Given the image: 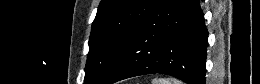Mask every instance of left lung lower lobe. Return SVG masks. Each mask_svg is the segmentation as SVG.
<instances>
[{"mask_svg":"<svg viewBox=\"0 0 260 84\" xmlns=\"http://www.w3.org/2000/svg\"><path fill=\"white\" fill-rule=\"evenodd\" d=\"M207 38L198 0H158L102 84L152 73L205 84Z\"/></svg>","mask_w":260,"mask_h":84,"instance_id":"left-lung-lower-lobe-1","label":"left lung lower lobe"}]
</instances>
